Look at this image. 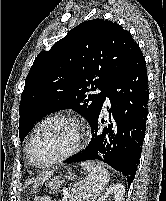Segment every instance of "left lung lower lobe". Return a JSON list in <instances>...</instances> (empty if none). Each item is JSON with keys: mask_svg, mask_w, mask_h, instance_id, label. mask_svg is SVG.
<instances>
[{"mask_svg": "<svg viewBox=\"0 0 166 201\" xmlns=\"http://www.w3.org/2000/svg\"><path fill=\"white\" fill-rule=\"evenodd\" d=\"M109 97L112 113L101 118L105 98ZM148 79L143 54L138 46L125 67L109 87L94 117L89 122L92 137L84 151L73 155L67 163L99 160L121 172L130 185L133 181L145 135ZM108 125L101 127L100 123Z\"/></svg>", "mask_w": 166, "mask_h": 201, "instance_id": "obj_1", "label": "left lung lower lobe"}]
</instances>
